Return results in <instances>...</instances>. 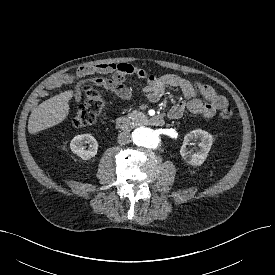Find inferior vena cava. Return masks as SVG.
I'll return each instance as SVG.
<instances>
[{"mask_svg":"<svg viewBox=\"0 0 275 275\" xmlns=\"http://www.w3.org/2000/svg\"><path fill=\"white\" fill-rule=\"evenodd\" d=\"M118 142L121 144V145H125V144H128L131 142V135L129 132H121L119 135H118Z\"/></svg>","mask_w":275,"mask_h":275,"instance_id":"inferior-vena-cava-1","label":"inferior vena cava"}]
</instances>
